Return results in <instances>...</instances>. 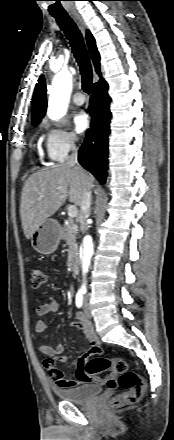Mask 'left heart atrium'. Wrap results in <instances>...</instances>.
Listing matches in <instances>:
<instances>
[{
	"instance_id": "obj_1",
	"label": "left heart atrium",
	"mask_w": 174,
	"mask_h": 440,
	"mask_svg": "<svg viewBox=\"0 0 174 440\" xmlns=\"http://www.w3.org/2000/svg\"><path fill=\"white\" fill-rule=\"evenodd\" d=\"M74 128L78 133L84 132L90 123V119L87 113L81 111L74 116L73 119Z\"/></svg>"
}]
</instances>
